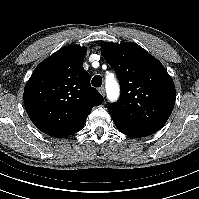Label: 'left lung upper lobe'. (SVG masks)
I'll return each instance as SVG.
<instances>
[{
    "label": "left lung upper lobe",
    "mask_w": 199,
    "mask_h": 199,
    "mask_svg": "<svg viewBox=\"0 0 199 199\" xmlns=\"http://www.w3.org/2000/svg\"><path fill=\"white\" fill-rule=\"evenodd\" d=\"M101 53L121 86L120 99L110 106V115L149 134L157 132L175 104V86L164 66L133 42H102Z\"/></svg>",
    "instance_id": "1"
}]
</instances>
